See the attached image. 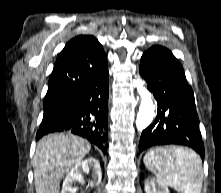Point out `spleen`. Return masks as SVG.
<instances>
[{"label":"spleen","mask_w":221,"mask_h":193,"mask_svg":"<svg viewBox=\"0 0 221 193\" xmlns=\"http://www.w3.org/2000/svg\"><path fill=\"white\" fill-rule=\"evenodd\" d=\"M148 170L180 193H201L203 169L199 156L178 146H152L144 156Z\"/></svg>","instance_id":"obj_1"}]
</instances>
